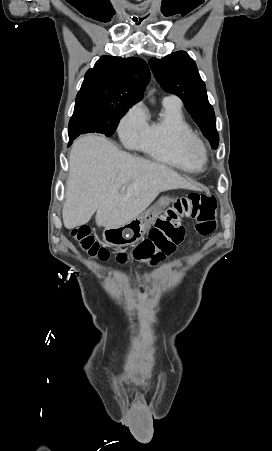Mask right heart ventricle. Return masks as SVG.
I'll list each match as a JSON object with an SVG mask.
<instances>
[{
	"mask_svg": "<svg viewBox=\"0 0 272 451\" xmlns=\"http://www.w3.org/2000/svg\"><path fill=\"white\" fill-rule=\"evenodd\" d=\"M177 135L182 138L194 137L183 118L181 108L164 103L161 118L147 126L136 146L156 161L168 164L184 174H192L193 167L185 159L182 143L177 140Z\"/></svg>",
	"mask_w": 272,
	"mask_h": 451,
	"instance_id": "e07e8e85",
	"label": "right heart ventricle"
}]
</instances>
